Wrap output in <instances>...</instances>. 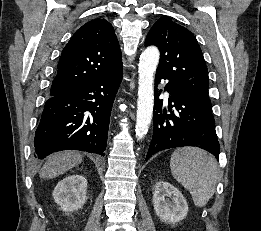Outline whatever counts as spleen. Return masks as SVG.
Listing matches in <instances>:
<instances>
[{
  "mask_svg": "<svg viewBox=\"0 0 261 231\" xmlns=\"http://www.w3.org/2000/svg\"><path fill=\"white\" fill-rule=\"evenodd\" d=\"M174 178L192 195L194 204L204 206L213 196L219 178L216 159L198 148L176 149L170 160Z\"/></svg>",
  "mask_w": 261,
  "mask_h": 231,
  "instance_id": "3e777b00",
  "label": "spleen"
}]
</instances>
